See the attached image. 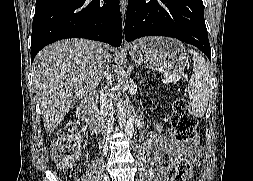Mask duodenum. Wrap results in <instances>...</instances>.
Returning a JSON list of instances; mask_svg holds the SVG:
<instances>
[{
    "label": "duodenum",
    "instance_id": "1",
    "mask_svg": "<svg viewBox=\"0 0 253 181\" xmlns=\"http://www.w3.org/2000/svg\"><path fill=\"white\" fill-rule=\"evenodd\" d=\"M96 100L93 97L87 98L81 105L79 112L88 123L93 132L101 130L100 114L95 110Z\"/></svg>",
    "mask_w": 253,
    "mask_h": 181
}]
</instances>
